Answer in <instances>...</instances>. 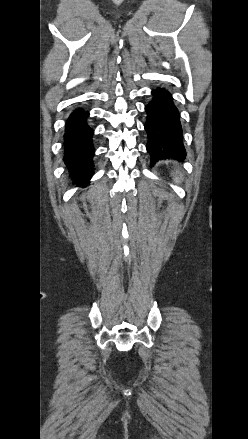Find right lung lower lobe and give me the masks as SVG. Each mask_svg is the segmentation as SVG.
Listing matches in <instances>:
<instances>
[{"label":"right lung lower lobe","instance_id":"1","mask_svg":"<svg viewBox=\"0 0 248 439\" xmlns=\"http://www.w3.org/2000/svg\"><path fill=\"white\" fill-rule=\"evenodd\" d=\"M89 112L76 108L69 116L64 134V162L77 184L92 177L94 147L93 129L88 125Z\"/></svg>","mask_w":248,"mask_h":439}]
</instances>
